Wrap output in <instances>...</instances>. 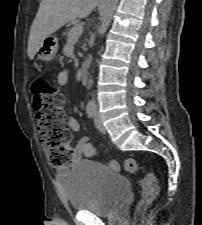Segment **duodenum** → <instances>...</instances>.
<instances>
[{
    "mask_svg": "<svg viewBox=\"0 0 202 225\" xmlns=\"http://www.w3.org/2000/svg\"><path fill=\"white\" fill-rule=\"evenodd\" d=\"M89 78V62L84 61L81 65V81L86 84Z\"/></svg>",
    "mask_w": 202,
    "mask_h": 225,
    "instance_id": "410a0bca",
    "label": "duodenum"
}]
</instances>
